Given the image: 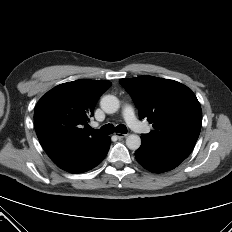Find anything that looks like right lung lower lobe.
<instances>
[{"mask_svg": "<svg viewBox=\"0 0 232 232\" xmlns=\"http://www.w3.org/2000/svg\"><path fill=\"white\" fill-rule=\"evenodd\" d=\"M110 148V138L106 140L102 147L95 151L72 155L58 162L57 166L71 173H83L96 167L105 158Z\"/></svg>", "mask_w": 232, "mask_h": 232, "instance_id": "1", "label": "right lung lower lobe"}]
</instances>
